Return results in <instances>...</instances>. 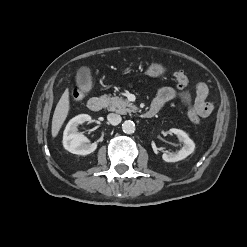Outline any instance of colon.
I'll return each instance as SVG.
<instances>
[{"label": "colon", "mask_w": 247, "mask_h": 247, "mask_svg": "<svg viewBox=\"0 0 247 247\" xmlns=\"http://www.w3.org/2000/svg\"><path fill=\"white\" fill-rule=\"evenodd\" d=\"M176 82L180 90L187 88L189 84L187 76L182 71L176 73ZM88 90L89 87L87 85L76 87L72 92V96L75 100H80L87 94ZM188 116L192 123H200V113L194 107H189Z\"/></svg>", "instance_id": "obj_1"}]
</instances>
